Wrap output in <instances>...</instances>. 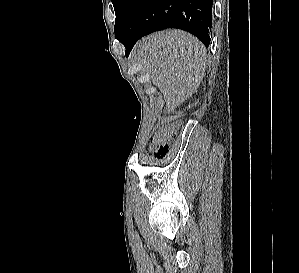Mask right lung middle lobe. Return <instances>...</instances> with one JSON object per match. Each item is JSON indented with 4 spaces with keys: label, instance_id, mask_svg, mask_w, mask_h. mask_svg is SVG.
<instances>
[{
    "label": "right lung middle lobe",
    "instance_id": "right-lung-middle-lobe-1",
    "mask_svg": "<svg viewBox=\"0 0 299 273\" xmlns=\"http://www.w3.org/2000/svg\"><path fill=\"white\" fill-rule=\"evenodd\" d=\"M115 10V37H117L134 0H111Z\"/></svg>",
    "mask_w": 299,
    "mask_h": 273
}]
</instances>
